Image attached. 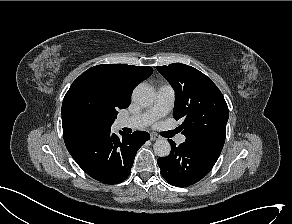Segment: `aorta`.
I'll use <instances>...</instances> for the list:
<instances>
[{
	"label": "aorta",
	"mask_w": 292,
	"mask_h": 224,
	"mask_svg": "<svg viewBox=\"0 0 292 224\" xmlns=\"http://www.w3.org/2000/svg\"><path fill=\"white\" fill-rule=\"evenodd\" d=\"M154 90L145 84H139L133 91V101L141 106L148 107L154 102ZM154 153L159 157H166L170 154L171 146L166 139L157 140L153 145Z\"/></svg>",
	"instance_id": "obj_1"
}]
</instances>
